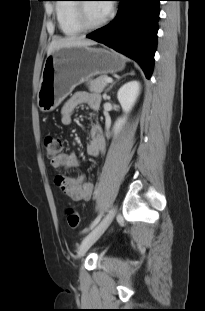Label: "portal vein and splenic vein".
I'll return each instance as SVG.
<instances>
[{"instance_id": "1", "label": "portal vein and splenic vein", "mask_w": 205, "mask_h": 311, "mask_svg": "<svg viewBox=\"0 0 205 311\" xmlns=\"http://www.w3.org/2000/svg\"><path fill=\"white\" fill-rule=\"evenodd\" d=\"M105 81L108 82V83H112L113 79L111 77H107V78H105Z\"/></svg>"}]
</instances>
